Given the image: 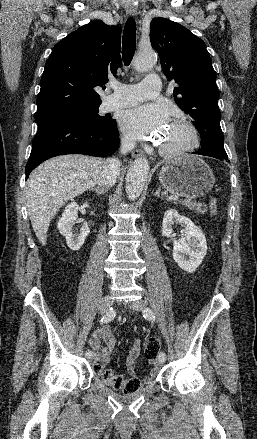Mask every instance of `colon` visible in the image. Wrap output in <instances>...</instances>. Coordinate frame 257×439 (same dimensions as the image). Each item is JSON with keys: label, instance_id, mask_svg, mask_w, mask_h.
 <instances>
[{"label": "colon", "instance_id": "colon-1", "mask_svg": "<svg viewBox=\"0 0 257 439\" xmlns=\"http://www.w3.org/2000/svg\"><path fill=\"white\" fill-rule=\"evenodd\" d=\"M210 212L212 215L216 214L217 212V205L214 199L210 202ZM159 348V339L156 337L149 338L145 344V356L148 359H155ZM93 370L95 374L100 376L106 384L117 390H120L125 394L134 393L141 387V382L138 378H125L122 375L115 374L112 370L105 368L98 363L94 365Z\"/></svg>", "mask_w": 257, "mask_h": 439}]
</instances>
